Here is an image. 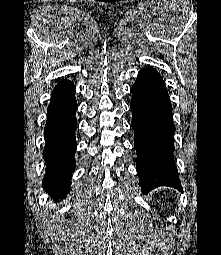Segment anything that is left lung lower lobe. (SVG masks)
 Listing matches in <instances>:
<instances>
[{
    "mask_svg": "<svg viewBox=\"0 0 221 255\" xmlns=\"http://www.w3.org/2000/svg\"><path fill=\"white\" fill-rule=\"evenodd\" d=\"M131 93V126L142 192L158 186L182 191L173 158L172 107L162 77L150 67L140 70Z\"/></svg>",
    "mask_w": 221,
    "mask_h": 255,
    "instance_id": "left-lung-lower-lobe-1",
    "label": "left lung lower lobe"
}]
</instances>
